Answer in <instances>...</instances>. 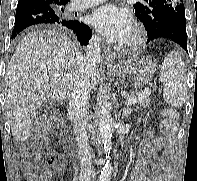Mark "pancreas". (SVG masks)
<instances>
[{
	"mask_svg": "<svg viewBox=\"0 0 197 181\" xmlns=\"http://www.w3.org/2000/svg\"><path fill=\"white\" fill-rule=\"evenodd\" d=\"M126 99H134L136 98L135 94L131 93V94H127L125 96ZM138 105L142 108H146L150 105V100L149 99H146V100H140L138 101Z\"/></svg>",
	"mask_w": 197,
	"mask_h": 181,
	"instance_id": "obj_1",
	"label": "pancreas"
}]
</instances>
